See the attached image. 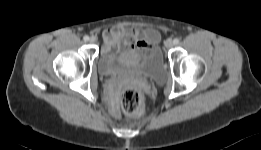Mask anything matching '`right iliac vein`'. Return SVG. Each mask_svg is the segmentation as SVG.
I'll use <instances>...</instances> for the list:
<instances>
[{"mask_svg": "<svg viewBox=\"0 0 261 150\" xmlns=\"http://www.w3.org/2000/svg\"><path fill=\"white\" fill-rule=\"evenodd\" d=\"M89 41H90L91 43H95V42L97 41L96 36H91L90 39H89Z\"/></svg>", "mask_w": 261, "mask_h": 150, "instance_id": "obj_1", "label": "right iliac vein"}]
</instances>
